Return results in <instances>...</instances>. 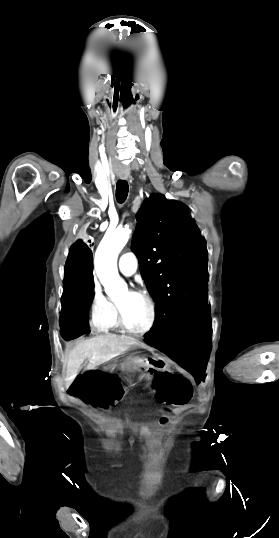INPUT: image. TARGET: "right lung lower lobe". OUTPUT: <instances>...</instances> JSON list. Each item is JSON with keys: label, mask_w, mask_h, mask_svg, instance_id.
<instances>
[{"label": "right lung lower lobe", "mask_w": 279, "mask_h": 538, "mask_svg": "<svg viewBox=\"0 0 279 538\" xmlns=\"http://www.w3.org/2000/svg\"><path fill=\"white\" fill-rule=\"evenodd\" d=\"M92 272V252L86 244L78 241L70 249L64 270L60 333L66 340L90 331L87 309L93 296Z\"/></svg>", "instance_id": "1"}]
</instances>
